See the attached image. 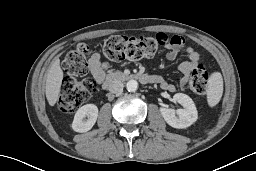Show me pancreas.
I'll return each mask as SVG.
<instances>
[{
	"label": "pancreas",
	"mask_w": 256,
	"mask_h": 171,
	"mask_svg": "<svg viewBox=\"0 0 256 171\" xmlns=\"http://www.w3.org/2000/svg\"><path fill=\"white\" fill-rule=\"evenodd\" d=\"M108 73H109V75H111V76H118V75L121 74L120 71H112V70L108 71Z\"/></svg>",
	"instance_id": "pancreas-1"
}]
</instances>
